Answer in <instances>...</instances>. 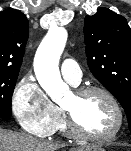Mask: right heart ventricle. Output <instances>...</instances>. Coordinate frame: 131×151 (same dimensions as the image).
<instances>
[{
    "mask_svg": "<svg viewBox=\"0 0 131 151\" xmlns=\"http://www.w3.org/2000/svg\"><path fill=\"white\" fill-rule=\"evenodd\" d=\"M55 132H59V133L65 134V135L69 133L68 129H67L65 117H64V114L61 109H59V118H58L51 134L55 133Z\"/></svg>",
    "mask_w": 131,
    "mask_h": 151,
    "instance_id": "right-heart-ventricle-1",
    "label": "right heart ventricle"
}]
</instances>
